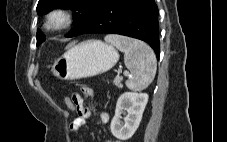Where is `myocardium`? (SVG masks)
Returning <instances> with one entry per match:
<instances>
[{
    "mask_svg": "<svg viewBox=\"0 0 227 142\" xmlns=\"http://www.w3.org/2000/svg\"><path fill=\"white\" fill-rule=\"evenodd\" d=\"M75 12L69 7H55L45 14L43 28L46 31H61L75 21Z\"/></svg>",
    "mask_w": 227,
    "mask_h": 142,
    "instance_id": "obj_1",
    "label": "myocardium"
}]
</instances>
